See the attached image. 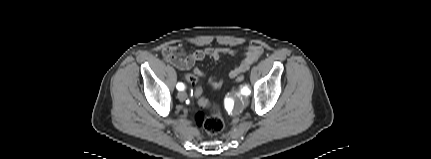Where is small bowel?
I'll return each instance as SVG.
<instances>
[{
  "instance_id": "1",
  "label": "small bowel",
  "mask_w": 431,
  "mask_h": 159,
  "mask_svg": "<svg viewBox=\"0 0 431 159\" xmlns=\"http://www.w3.org/2000/svg\"><path fill=\"white\" fill-rule=\"evenodd\" d=\"M237 51L230 47H207L203 49L195 50L189 54L185 53L184 48L181 45H170L166 46L162 50V55L166 62L175 66L180 70H188L194 66L198 61L203 60L205 57H211L218 60L223 55H235ZM263 53V48L259 45H250L245 49L243 60L232 68L229 72V77L236 79L240 73H244L247 69L256 62ZM196 78L202 77L203 72L195 68L192 72ZM190 83V82H189ZM222 84L221 80L210 79L209 85L213 89H218ZM195 92V91H194ZM195 94V93H194Z\"/></svg>"
}]
</instances>
